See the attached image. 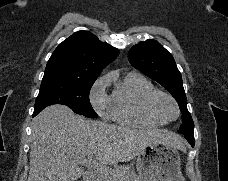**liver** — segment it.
I'll list each match as a JSON object with an SVG mask.
<instances>
[{
	"label": "liver",
	"mask_w": 228,
	"mask_h": 181,
	"mask_svg": "<svg viewBox=\"0 0 228 181\" xmlns=\"http://www.w3.org/2000/svg\"><path fill=\"white\" fill-rule=\"evenodd\" d=\"M155 141L186 151L174 133L85 121L65 105H50L33 119L28 181H78L85 175L78 165L90 157L100 165L127 163Z\"/></svg>",
	"instance_id": "6515ba94"
}]
</instances>
